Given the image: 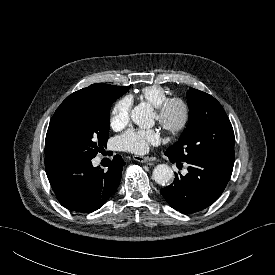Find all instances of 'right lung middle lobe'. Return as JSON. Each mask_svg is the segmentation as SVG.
Instances as JSON below:
<instances>
[{"instance_id":"obj_1","label":"right lung middle lobe","mask_w":275,"mask_h":275,"mask_svg":"<svg viewBox=\"0 0 275 275\" xmlns=\"http://www.w3.org/2000/svg\"><path fill=\"white\" fill-rule=\"evenodd\" d=\"M128 89L126 86L105 97L60 105L46 134L45 159L61 156L94 158L108 140L110 106Z\"/></svg>"}]
</instances>
